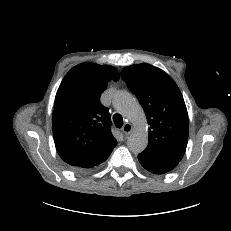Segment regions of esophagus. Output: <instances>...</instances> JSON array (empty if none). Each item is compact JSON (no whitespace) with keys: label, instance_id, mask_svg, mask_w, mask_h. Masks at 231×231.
<instances>
[{"label":"esophagus","instance_id":"1","mask_svg":"<svg viewBox=\"0 0 231 231\" xmlns=\"http://www.w3.org/2000/svg\"><path fill=\"white\" fill-rule=\"evenodd\" d=\"M133 130V126L130 123H125L124 126L122 127V132L125 135H129Z\"/></svg>","mask_w":231,"mask_h":231}]
</instances>
